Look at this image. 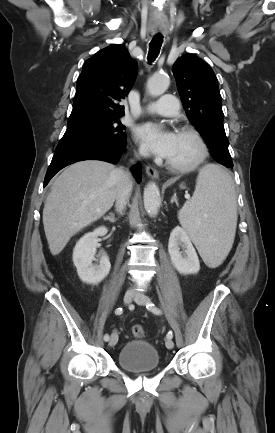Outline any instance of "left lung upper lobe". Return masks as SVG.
Here are the masks:
<instances>
[{"label": "left lung upper lobe", "instance_id": "obj_1", "mask_svg": "<svg viewBox=\"0 0 275 433\" xmlns=\"http://www.w3.org/2000/svg\"><path fill=\"white\" fill-rule=\"evenodd\" d=\"M190 122L207 143L214 159L233 165L223 126L218 81L210 66L194 54L180 57L172 68Z\"/></svg>", "mask_w": 275, "mask_h": 433}]
</instances>
